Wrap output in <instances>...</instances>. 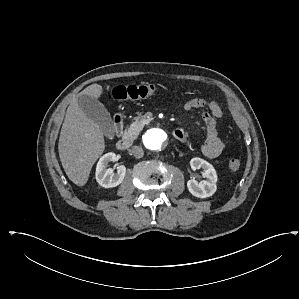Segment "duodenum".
<instances>
[{
	"mask_svg": "<svg viewBox=\"0 0 299 299\" xmlns=\"http://www.w3.org/2000/svg\"><path fill=\"white\" fill-rule=\"evenodd\" d=\"M123 117L120 114H116L114 117V128L117 133H121L123 130ZM173 135L178 140H185L186 135L180 128L173 129ZM119 150H127L131 146V141L127 138H120L116 144Z\"/></svg>",
	"mask_w": 299,
	"mask_h": 299,
	"instance_id": "duodenum-1",
	"label": "duodenum"
}]
</instances>
